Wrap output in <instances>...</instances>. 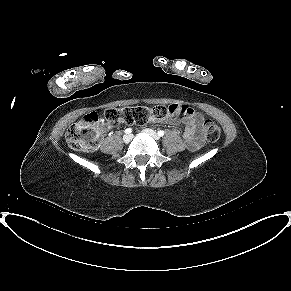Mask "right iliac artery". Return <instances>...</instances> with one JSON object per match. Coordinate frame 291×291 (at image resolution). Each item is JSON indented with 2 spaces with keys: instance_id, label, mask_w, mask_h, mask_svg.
<instances>
[{
  "instance_id": "right-iliac-artery-1",
  "label": "right iliac artery",
  "mask_w": 291,
  "mask_h": 291,
  "mask_svg": "<svg viewBox=\"0 0 291 291\" xmlns=\"http://www.w3.org/2000/svg\"><path fill=\"white\" fill-rule=\"evenodd\" d=\"M132 132V129L131 128H127L126 130H125V133L126 134H130Z\"/></svg>"
}]
</instances>
